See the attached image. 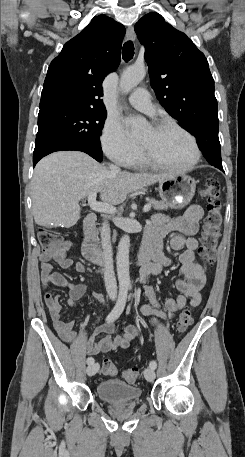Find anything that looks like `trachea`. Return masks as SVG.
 Returning a JSON list of instances; mask_svg holds the SVG:
<instances>
[{
    "label": "trachea",
    "instance_id": "1",
    "mask_svg": "<svg viewBox=\"0 0 245 457\" xmlns=\"http://www.w3.org/2000/svg\"><path fill=\"white\" fill-rule=\"evenodd\" d=\"M122 55H123V60H125V62H128L129 60H131V58H133L134 45L131 42V40H129L128 42L124 43L123 50H122Z\"/></svg>",
    "mask_w": 245,
    "mask_h": 457
}]
</instances>
